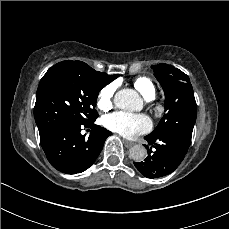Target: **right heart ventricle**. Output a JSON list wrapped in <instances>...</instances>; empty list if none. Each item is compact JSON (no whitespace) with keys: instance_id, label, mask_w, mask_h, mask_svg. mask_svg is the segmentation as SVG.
Here are the masks:
<instances>
[{"instance_id":"e07e8e85","label":"right heart ventricle","mask_w":229,"mask_h":229,"mask_svg":"<svg viewBox=\"0 0 229 229\" xmlns=\"http://www.w3.org/2000/svg\"><path fill=\"white\" fill-rule=\"evenodd\" d=\"M134 87L141 93L146 99H154L156 95V89L151 80L147 77H137L134 82Z\"/></svg>"}]
</instances>
